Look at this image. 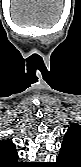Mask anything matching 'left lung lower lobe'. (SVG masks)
<instances>
[{
	"instance_id": "obj_1",
	"label": "left lung lower lobe",
	"mask_w": 81,
	"mask_h": 167,
	"mask_svg": "<svg viewBox=\"0 0 81 167\" xmlns=\"http://www.w3.org/2000/svg\"><path fill=\"white\" fill-rule=\"evenodd\" d=\"M55 167H80V158L66 146H61Z\"/></svg>"
}]
</instances>
